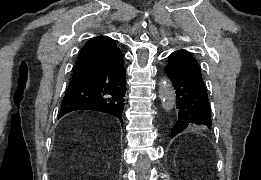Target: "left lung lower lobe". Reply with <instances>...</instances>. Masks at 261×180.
I'll use <instances>...</instances> for the list:
<instances>
[{
  "mask_svg": "<svg viewBox=\"0 0 261 180\" xmlns=\"http://www.w3.org/2000/svg\"><path fill=\"white\" fill-rule=\"evenodd\" d=\"M165 72L176 94L178 118L170 134L174 137L186 128H211V108L198 62L186 50L169 56Z\"/></svg>",
  "mask_w": 261,
  "mask_h": 180,
  "instance_id": "0a47b994",
  "label": "left lung lower lobe"
}]
</instances>
